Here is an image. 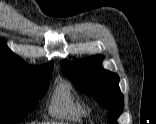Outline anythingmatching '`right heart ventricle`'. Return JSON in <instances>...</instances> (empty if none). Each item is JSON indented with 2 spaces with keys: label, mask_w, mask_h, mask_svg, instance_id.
Instances as JSON below:
<instances>
[{
  "label": "right heart ventricle",
  "mask_w": 156,
  "mask_h": 124,
  "mask_svg": "<svg viewBox=\"0 0 156 124\" xmlns=\"http://www.w3.org/2000/svg\"><path fill=\"white\" fill-rule=\"evenodd\" d=\"M49 113L58 119L80 121L87 116L88 111L73 93L70 85L61 81L51 96Z\"/></svg>",
  "instance_id": "right-heart-ventricle-1"
}]
</instances>
